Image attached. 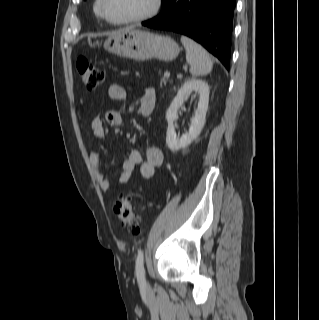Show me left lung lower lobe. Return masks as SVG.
<instances>
[{
    "instance_id": "left-lung-lower-lobe-1",
    "label": "left lung lower lobe",
    "mask_w": 319,
    "mask_h": 320,
    "mask_svg": "<svg viewBox=\"0 0 319 320\" xmlns=\"http://www.w3.org/2000/svg\"><path fill=\"white\" fill-rule=\"evenodd\" d=\"M235 0H164L162 12L144 26L184 34L229 69Z\"/></svg>"
}]
</instances>
